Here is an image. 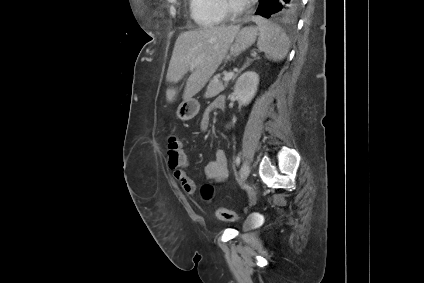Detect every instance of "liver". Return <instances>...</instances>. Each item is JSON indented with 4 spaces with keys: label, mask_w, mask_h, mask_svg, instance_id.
I'll return each instance as SVG.
<instances>
[{
    "label": "liver",
    "mask_w": 424,
    "mask_h": 283,
    "mask_svg": "<svg viewBox=\"0 0 424 283\" xmlns=\"http://www.w3.org/2000/svg\"><path fill=\"white\" fill-rule=\"evenodd\" d=\"M239 31L240 25L213 26L185 31L178 36L167 81L177 82L187 71L192 72L187 80L183 99L193 97L205 86L226 57ZM176 94V89H167V101L172 102Z\"/></svg>",
    "instance_id": "liver-1"
}]
</instances>
